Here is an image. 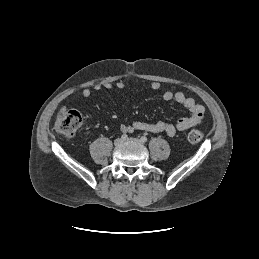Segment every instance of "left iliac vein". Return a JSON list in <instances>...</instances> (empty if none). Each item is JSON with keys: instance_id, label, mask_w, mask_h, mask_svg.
<instances>
[{"instance_id": "1", "label": "left iliac vein", "mask_w": 259, "mask_h": 259, "mask_svg": "<svg viewBox=\"0 0 259 259\" xmlns=\"http://www.w3.org/2000/svg\"><path fill=\"white\" fill-rule=\"evenodd\" d=\"M126 141H127V142L141 143V140H139V139H137V138H128Z\"/></svg>"}]
</instances>
